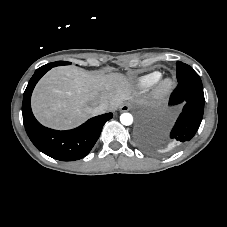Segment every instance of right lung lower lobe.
<instances>
[{"label":"right lung lower lobe","mask_w":227,"mask_h":227,"mask_svg":"<svg viewBox=\"0 0 227 227\" xmlns=\"http://www.w3.org/2000/svg\"><path fill=\"white\" fill-rule=\"evenodd\" d=\"M51 68L50 64L38 68L26 87L22 104L24 126L32 143L44 154L61 161L78 160L90 152L100 136L103 125L113 115L106 113L93 117L68 131H57L42 126L32 113L30 99L36 83Z\"/></svg>","instance_id":"98d812e1"}]
</instances>
